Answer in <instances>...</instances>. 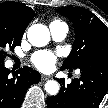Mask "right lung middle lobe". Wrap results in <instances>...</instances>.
Segmentation results:
<instances>
[{"mask_svg":"<svg viewBox=\"0 0 108 108\" xmlns=\"http://www.w3.org/2000/svg\"><path fill=\"white\" fill-rule=\"evenodd\" d=\"M23 33V29L12 16L0 12V63L4 62L7 55L4 51L6 48L13 50L15 46L20 45Z\"/></svg>","mask_w":108,"mask_h":108,"instance_id":"obj_1","label":"right lung middle lobe"}]
</instances>
